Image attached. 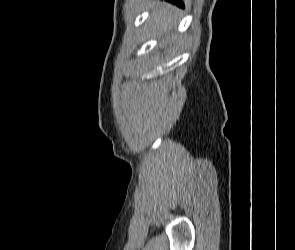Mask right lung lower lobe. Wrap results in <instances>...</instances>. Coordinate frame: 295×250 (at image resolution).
<instances>
[{
    "label": "right lung lower lobe",
    "instance_id": "right-lung-lower-lobe-1",
    "mask_svg": "<svg viewBox=\"0 0 295 250\" xmlns=\"http://www.w3.org/2000/svg\"><path fill=\"white\" fill-rule=\"evenodd\" d=\"M167 1L173 2L179 6H183V3L181 2V0H167Z\"/></svg>",
    "mask_w": 295,
    "mask_h": 250
}]
</instances>
